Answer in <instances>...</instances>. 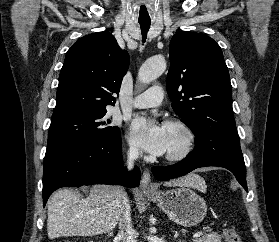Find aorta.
Wrapping results in <instances>:
<instances>
[{"label":"aorta","instance_id":"1","mask_svg":"<svg viewBox=\"0 0 279 242\" xmlns=\"http://www.w3.org/2000/svg\"><path fill=\"white\" fill-rule=\"evenodd\" d=\"M166 70V61L163 56L149 58L140 68L138 79L142 83H149L159 77Z\"/></svg>","mask_w":279,"mask_h":242}]
</instances>
